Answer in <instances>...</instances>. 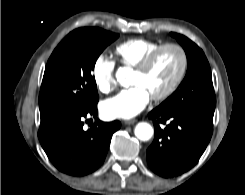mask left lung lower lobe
Instances as JSON below:
<instances>
[{
    "label": "left lung lower lobe",
    "instance_id": "left-lung-lower-lobe-1",
    "mask_svg": "<svg viewBox=\"0 0 245 195\" xmlns=\"http://www.w3.org/2000/svg\"><path fill=\"white\" fill-rule=\"evenodd\" d=\"M213 115L214 111L200 109H153L148 114L155 127L154 141L147 149L149 167L162 177L191 169L211 139Z\"/></svg>",
    "mask_w": 245,
    "mask_h": 195
}]
</instances>
